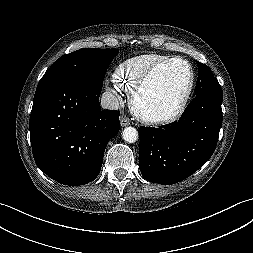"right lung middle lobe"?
<instances>
[{"label": "right lung middle lobe", "mask_w": 253, "mask_h": 253, "mask_svg": "<svg viewBox=\"0 0 253 253\" xmlns=\"http://www.w3.org/2000/svg\"><path fill=\"white\" fill-rule=\"evenodd\" d=\"M117 49L84 48L63 55L48 69L39 83L59 77L102 81Z\"/></svg>", "instance_id": "right-lung-middle-lobe-1"}]
</instances>
